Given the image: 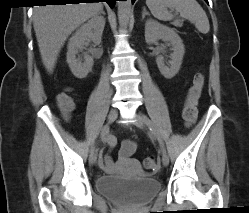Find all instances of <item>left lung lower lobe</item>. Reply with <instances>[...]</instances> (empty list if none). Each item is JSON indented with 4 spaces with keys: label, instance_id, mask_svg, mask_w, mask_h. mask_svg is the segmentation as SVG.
<instances>
[{
    "label": "left lung lower lobe",
    "instance_id": "obj_1",
    "mask_svg": "<svg viewBox=\"0 0 249 213\" xmlns=\"http://www.w3.org/2000/svg\"><path fill=\"white\" fill-rule=\"evenodd\" d=\"M135 0H132V3H134ZM208 3V0H205Z\"/></svg>",
    "mask_w": 249,
    "mask_h": 213
}]
</instances>
